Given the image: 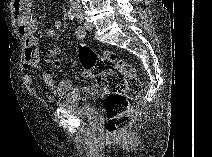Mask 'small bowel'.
Masks as SVG:
<instances>
[{"label":"small bowel","mask_w":212,"mask_h":157,"mask_svg":"<svg viewBox=\"0 0 212 157\" xmlns=\"http://www.w3.org/2000/svg\"><path fill=\"white\" fill-rule=\"evenodd\" d=\"M32 6L31 0H15L12 5L18 32L24 39L23 68L26 70L34 69L39 72L47 88L45 98L48 102H53L70 90L71 82L68 79H63L59 84H56L53 76L40 65L39 40L35 35L39 29V20L33 12ZM62 27L63 22L59 19L55 20L53 27L47 29L45 34L47 37H53ZM23 81L29 87L36 85L31 76L27 74L23 76Z\"/></svg>","instance_id":"obj_1"}]
</instances>
